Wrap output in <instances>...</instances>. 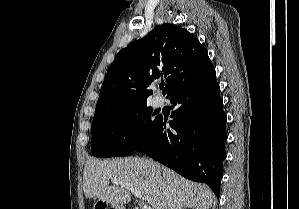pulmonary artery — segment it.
Returning <instances> with one entry per match:
<instances>
[{
    "label": "pulmonary artery",
    "mask_w": 299,
    "mask_h": 209,
    "mask_svg": "<svg viewBox=\"0 0 299 209\" xmlns=\"http://www.w3.org/2000/svg\"><path fill=\"white\" fill-rule=\"evenodd\" d=\"M155 105H156V106H159V105H160V101H158V100L155 101Z\"/></svg>",
    "instance_id": "1"
}]
</instances>
